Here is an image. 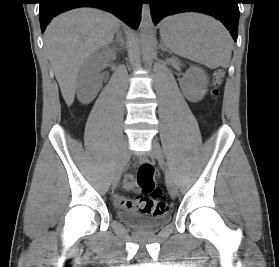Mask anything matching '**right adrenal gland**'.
Returning a JSON list of instances; mask_svg holds the SVG:
<instances>
[{"mask_svg": "<svg viewBox=\"0 0 279 267\" xmlns=\"http://www.w3.org/2000/svg\"><path fill=\"white\" fill-rule=\"evenodd\" d=\"M114 42L119 43V47H120L119 49H121L123 47L124 40L122 38V32L121 31H118L117 38L114 40Z\"/></svg>", "mask_w": 279, "mask_h": 267, "instance_id": "1", "label": "right adrenal gland"}]
</instances>
